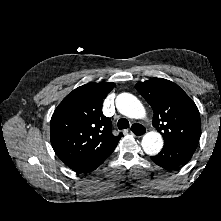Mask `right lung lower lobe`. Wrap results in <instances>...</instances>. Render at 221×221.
I'll return each mask as SVG.
<instances>
[{"instance_id":"1","label":"right lung lower lobe","mask_w":221,"mask_h":221,"mask_svg":"<svg viewBox=\"0 0 221 221\" xmlns=\"http://www.w3.org/2000/svg\"><path fill=\"white\" fill-rule=\"evenodd\" d=\"M108 156L86 159L72 164L69 167L76 172H91L101 165Z\"/></svg>"}]
</instances>
